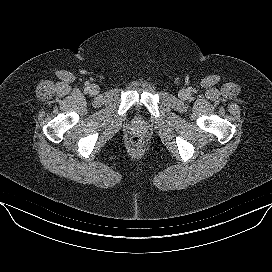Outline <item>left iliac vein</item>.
Instances as JSON below:
<instances>
[{"instance_id":"4c4485c4","label":"left iliac vein","mask_w":272,"mask_h":272,"mask_svg":"<svg viewBox=\"0 0 272 272\" xmlns=\"http://www.w3.org/2000/svg\"><path fill=\"white\" fill-rule=\"evenodd\" d=\"M180 98L185 99L187 97V92L185 90L180 91Z\"/></svg>"}]
</instances>
